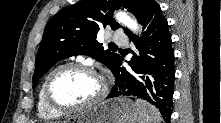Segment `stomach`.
<instances>
[{"mask_svg":"<svg viewBox=\"0 0 221 123\" xmlns=\"http://www.w3.org/2000/svg\"><path fill=\"white\" fill-rule=\"evenodd\" d=\"M136 104L125 97L105 100L76 114L68 123H137Z\"/></svg>","mask_w":221,"mask_h":123,"instance_id":"0dacf381","label":"stomach"}]
</instances>
